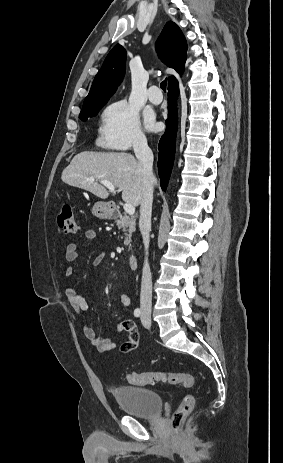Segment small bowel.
<instances>
[{
	"mask_svg": "<svg viewBox=\"0 0 283 463\" xmlns=\"http://www.w3.org/2000/svg\"><path fill=\"white\" fill-rule=\"evenodd\" d=\"M96 231L94 230H87L85 232V237L88 240H95L96 239ZM65 259L70 262H76L78 258V245L76 243H69L64 252ZM105 259V254L100 253L94 257L92 263L93 265L97 266L101 264ZM75 273V269L72 265L68 266L65 270V276L67 279H71ZM65 296L70 303L72 309L77 313H82L87 310L88 305L85 299L78 295L72 285H67L64 289ZM119 300L121 304L128 308L131 305L130 297L126 293H121L119 295ZM83 332L86 338L90 341V343L97 349L100 353H107L112 351L116 348H120L122 352L129 353L135 350L138 346L139 342V335L137 331L136 324L131 319H125L121 321L117 327L116 332L118 337L116 339H111L107 337H102L98 335L93 328L90 326L85 325L83 327ZM126 332L127 337H121V333ZM125 349V351H123Z\"/></svg>",
	"mask_w": 283,
	"mask_h": 463,
	"instance_id": "1",
	"label": "small bowel"
}]
</instances>
